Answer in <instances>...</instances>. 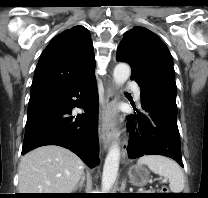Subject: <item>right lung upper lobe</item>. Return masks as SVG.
<instances>
[{
	"label": "right lung upper lobe",
	"instance_id": "obj_1",
	"mask_svg": "<svg viewBox=\"0 0 208 198\" xmlns=\"http://www.w3.org/2000/svg\"><path fill=\"white\" fill-rule=\"evenodd\" d=\"M92 39L83 26L54 37L42 53L32 82L30 100L65 92L94 74Z\"/></svg>",
	"mask_w": 208,
	"mask_h": 198
}]
</instances>
